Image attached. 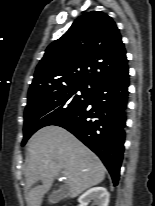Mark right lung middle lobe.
I'll return each mask as SVG.
<instances>
[{
    "mask_svg": "<svg viewBox=\"0 0 155 206\" xmlns=\"http://www.w3.org/2000/svg\"><path fill=\"white\" fill-rule=\"evenodd\" d=\"M78 91H80L79 95L76 94ZM93 92V88L85 85H68L28 96L24 114L22 146L38 129L55 124L86 104Z\"/></svg>",
    "mask_w": 155,
    "mask_h": 206,
    "instance_id": "right-lung-middle-lobe-1",
    "label": "right lung middle lobe"
}]
</instances>
